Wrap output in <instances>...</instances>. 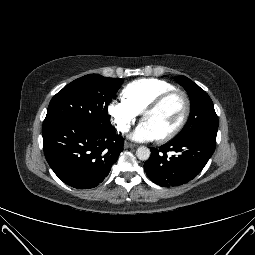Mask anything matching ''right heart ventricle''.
Returning <instances> with one entry per match:
<instances>
[{"instance_id":"e07e8e85","label":"right heart ventricle","mask_w":255,"mask_h":255,"mask_svg":"<svg viewBox=\"0 0 255 255\" xmlns=\"http://www.w3.org/2000/svg\"><path fill=\"white\" fill-rule=\"evenodd\" d=\"M172 89H175V86L164 80L140 79L123 89L122 98L137 114H140L156 97Z\"/></svg>"}]
</instances>
